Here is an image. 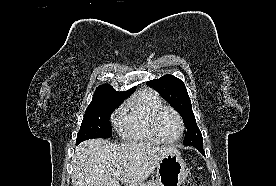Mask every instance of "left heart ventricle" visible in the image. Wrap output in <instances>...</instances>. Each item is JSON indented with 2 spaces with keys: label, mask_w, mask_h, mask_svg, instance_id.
Instances as JSON below:
<instances>
[{
  "label": "left heart ventricle",
  "mask_w": 276,
  "mask_h": 186,
  "mask_svg": "<svg viewBox=\"0 0 276 186\" xmlns=\"http://www.w3.org/2000/svg\"><path fill=\"white\" fill-rule=\"evenodd\" d=\"M158 129L166 139L172 140L179 136L181 126L172 112L164 111L158 119Z\"/></svg>",
  "instance_id": "b2bd125f"
}]
</instances>
